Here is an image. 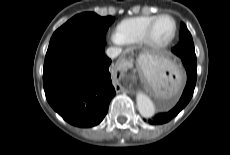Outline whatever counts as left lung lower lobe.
Returning <instances> with one entry per match:
<instances>
[{
	"mask_svg": "<svg viewBox=\"0 0 230 155\" xmlns=\"http://www.w3.org/2000/svg\"><path fill=\"white\" fill-rule=\"evenodd\" d=\"M181 60L187 72V83L183 91V94L179 102L170 111L159 113L155 117L148 120L144 119L151 125H160L169 122L172 118L178 115V113L188 104L193 95L197 79L196 60L192 59V57L181 58Z\"/></svg>",
	"mask_w": 230,
	"mask_h": 155,
	"instance_id": "obj_1",
	"label": "left lung lower lobe"
}]
</instances>
